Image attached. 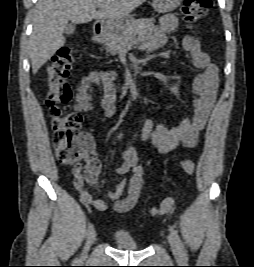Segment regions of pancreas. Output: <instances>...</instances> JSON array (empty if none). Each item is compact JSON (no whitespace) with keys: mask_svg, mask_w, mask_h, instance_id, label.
Listing matches in <instances>:
<instances>
[{"mask_svg":"<svg viewBox=\"0 0 254 267\" xmlns=\"http://www.w3.org/2000/svg\"><path fill=\"white\" fill-rule=\"evenodd\" d=\"M154 28L152 19H138L132 22L121 33L108 36L104 41L106 51L110 54H118L122 49L127 47L136 37H142L149 34Z\"/></svg>","mask_w":254,"mask_h":267,"instance_id":"1","label":"pancreas"}]
</instances>
